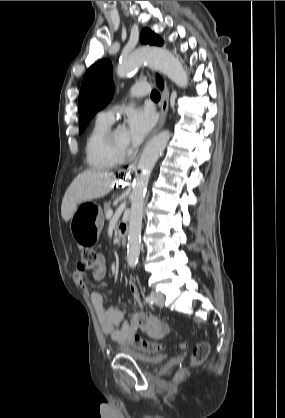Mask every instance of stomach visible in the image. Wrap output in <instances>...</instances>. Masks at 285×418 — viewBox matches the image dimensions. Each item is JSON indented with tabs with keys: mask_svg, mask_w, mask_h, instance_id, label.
<instances>
[{
	"mask_svg": "<svg viewBox=\"0 0 285 418\" xmlns=\"http://www.w3.org/2000/svg\"><path fill=\"white\" fill-rule=\"evenodd\" d=\"M85 203L80 204L73 217L70 219V231L80 245L91 244L96 241L103 226V214L100 207L95 213L86 212L83 209Z\"/></svg>",
	"mask_w": 285,
	"mask_h": 418,
	"instance_id": "1",
	"label": "stomach"
}]
</instances>
